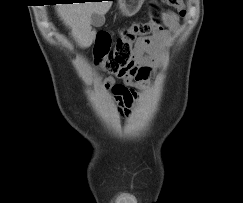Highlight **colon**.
I'll list each match as a JSON object with an SVG mask.
<instances>
[{
	"mask_svg": "<svg viewBox=\"0 0 243 203\" xmlns=\"http://www.w3.org/2000/svg\"><path fill=\"white\" fill-rule=\"evenodd\" d=\"M159 2L174 8L181 17H185L186 10L182 0H160ZM159 2L153 1L150 4L148 19L135 20L122 27L113 49L111 48V37L107 32L97 35L94 60L99 69L110 74H120L130 67L133 46L139 39L150 36L162 27Z\"/></svg>",
	"mask_w": 243,
	"mask_h": 203,
	"instance_id": "5ec220e1",
	"label": "colon"
}]
</instances>
